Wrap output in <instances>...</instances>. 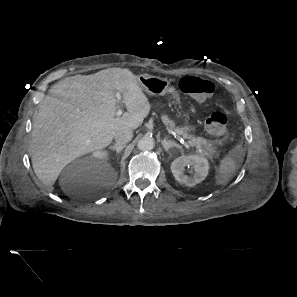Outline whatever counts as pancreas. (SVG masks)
Here are the masks:
<instances>
[{
  "label": "pancreas",
  "mask_w": 297,
  "mask_h": 297,
  "mask_svg": "<svg viewBox=\"0 0 297 297\" xmlns=\"http://www.w3.org/2000/svg\"><path fill=\"white\" fill-rule=\"evenodd\" d=\"M162 121L167 127L175 130V132L178 135H182L185 139H189L190 142L193 144V146L196 147L197 152H199L200 154L207 156L210 159H212L213 157L219 156V153L216 150V147L213 142L202 137H195L192 135H188L182 129L175 127L174 122L169 120V118L166 115L162 116Z\"/></svg>",
  "instance_id": "obj_1"
}]
</instances>
